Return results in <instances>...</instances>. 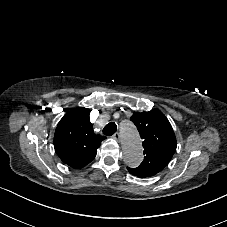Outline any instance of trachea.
Wrapping results in <instances>:
<instances>
[{
	"mask_svg": "<svg viewBox=\"0 0 227 227\" xmlns=\"http://www.w3.org/2000/svg\"><path fill=\"white\" fill-rule=\"evenodd\" d=\"M116 130H117L116 124L114 122H110L103 128V134L111 136L116 132Z\"/></svg>",
	"mask_w": 227,
	"mask_h": 227,
	"instance_id": "obj_1",
	"label": "trachea"
}]
</instances>
